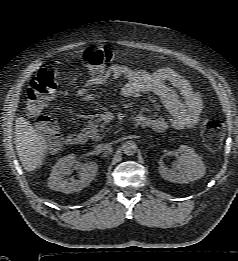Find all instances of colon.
<instances>
[{
  "label": "colon",
  "instance_id": "1",
  "mask_svg": "<svg viewBox=\"0 0 238 261\" xmlns=\"http://www.w3.org/2000/svg\"><path fill=\"white\" fill-rule=\"evenodd\" d=\"M113 60V53L106 47H97L83 52L81 62L92 76H103ZM58 87V72L52 65L39 69L27 89L28 112L36 118L38 128L49 137L52 149L60 146V136L56 121L45 113V108L54 97ZM223 121L214 117L204 119L201 136L209 150H217L224 137Z\"/></svg>",
  "mask_w": 238,
  "mask_h": 261
}]
</instances>
